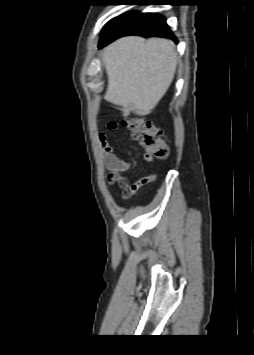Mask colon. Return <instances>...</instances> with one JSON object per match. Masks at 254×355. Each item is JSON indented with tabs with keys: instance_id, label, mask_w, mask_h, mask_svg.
Returning <instances> with one entry per match:
<instances>
[{
	"instance_id": "colon-1",
	"label": "colon",
	"mask_w": 254,
	"mask_h": 355,
	"mask_svg": "<svg viewBox=\"0 0 254 355\" xmlns=\"http://www.w3.org/2000/svg\"><path fill=\"white\" fill-rule=\"evenodd\" d=\"M122 125L128 128L132 138L143 147L147 158L163 160L169 157L170 150L163 132L153 123L131 117L124 119Z\"/></svg>"
}]
</instances>
